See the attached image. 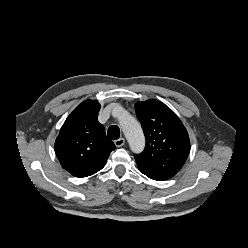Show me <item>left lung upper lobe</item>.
I'll use <instances>...</instances> for the list:
<instances>
[{
    "label": "left lung upper lobe",
    "mask_w": 248,
    "mask_h": 248,
    "mask_svg": "<svg viewBox=\"0 0 248 248\" xmlns=\"http://www.w3.org/2000/svg\"><path fill=\"white\" fill-rule=\"evenodd\" d=\"M135 109L146 139L144 151L134 155L137 164L173 177L190 152L186 128L177 115L158 100L137 102Z\"/></svg>",
    "instance_id": "1"
}]
</instances>
